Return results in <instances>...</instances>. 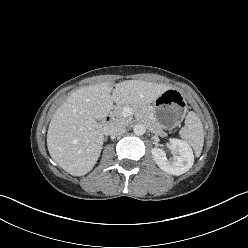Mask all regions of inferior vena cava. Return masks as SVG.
<instances>
[{"instance_id":"inferior-vena-cava-1","label":"inferior vena cava","mask_w":248,"mask_h":248,"mask_svg":"<svg viewBox=\"0 0 248 248\" xmlns=\"http://www.w3.org/2000/svg\"><path fill=\"white\" fill-rule=\"evenodd\" d=\"M107 135H121L126 131L125 126L120 122H112L105 128Z\"/></svg>"}]
</instances>
